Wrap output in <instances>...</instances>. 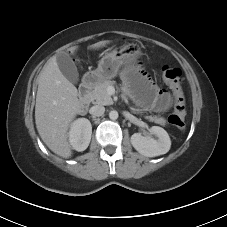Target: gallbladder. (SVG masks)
<instances>
[{
	"label": "gallbladder",
	"mask_w": 227,
	"mask_h": 227,
	"mask_svg": "<svg viewBox=\"0 0 227 227\" xmlns=\"http://www.w3.org/2000/svg\"><path fill=\"white\" fill-rule=\"evenodd\" d=\"M58 67L62 74L71 82L76 84L79 80L77 67L73 60L66 53H59L56 58Z\"/></svg>",
	"instance_id": "obj_1"
}]
</instances>
